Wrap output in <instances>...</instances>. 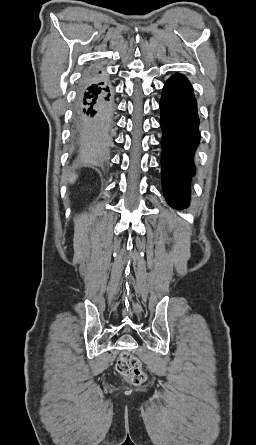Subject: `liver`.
Instances as JSON below:
<instances>
[{"instance_id": "liver-1", "label": "liver", "mask_w": 256, "mask_h": 445, "mask_svg": "<svg viewBox=\"0 0 256 445\" xmlns=\"http://www.w3.org/2000/svg\"><path fill=\"white\" fill-rule=\"evenodd\" d=\"M75 179H76V176L73 174V175L71 176V178H70V182H71V183L74 182Z\"/></svg>"}]
</instances>
